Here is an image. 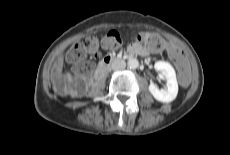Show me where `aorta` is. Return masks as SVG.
<instances>
[{
	"instance_id": "obj_1",
	"label": "aorta",
	"mask_w": 230,
	"mask_h": 155,
	"mask_svg": "<svg viewBox=\"0 0 230 155\" xmlns=\"http://www.w3.org/2000/svg\"><path fill=\"white\" fill-rule=\"evenodd\" d=\"M128 67L130 68V69H136V68H138L139 67V62H138V60L137 59H130L129 61H128Z\"/></svg>"
}]
</instances>
